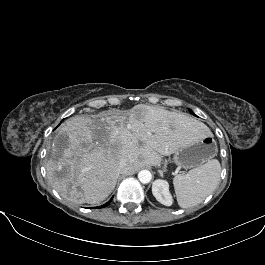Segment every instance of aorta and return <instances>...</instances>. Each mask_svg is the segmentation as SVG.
<instances>
[{
	"label": "aorta",
	"mask_w": 265,
	"mask_h": 265,
	"mask_svg": "<svg viewBox=\"0 0 265 265\" xmlns=\"http://www.w3.org/2000/svg\"><path fill=\"white\" fill-rule=\"evenodd\" d=\"M138 179L141 183L143 184H147L151 181L152 179V174L150 171L148 170H141L139 173H138Z\"/></svg>",
	"instance_id": "obj_1"
}]
</instances>
